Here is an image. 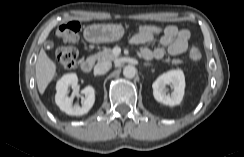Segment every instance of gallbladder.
Masks as SVG:
<instances>
[{"mask_svg": "<svg viewBox=\"0 0 244 157\" xmlns=\"http://www.w3.org/2000/svg\"><path fill=\"white\" fill-rule=\"evenodd\" d=\"M48 44L53 45V43L51 41H49Z\"/></svg>", "mask_w": 244, "mask_h": 157, "instance_id": "obj_1", "label": "gallbladder"}]
</instances>
